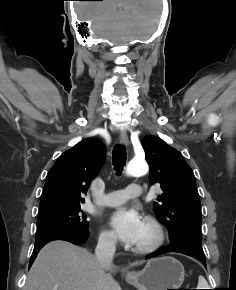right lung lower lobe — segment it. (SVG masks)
Listing matches in <instances>:
<instances>
[{"instance_id":"98d812e1","label":"right lung lower lobe","mask_w":236,"mask_h":290,"mask_svg":"<svg viewBox=\"0 0 236 290\" xmlns=\"http://www.w3.org/2000/svg\"><path fill=\"white\" fill-rule=\"evenodd\" d=\"M89 236V232H76V233H55L48 236H45L40 239L35 240L34 250L30 258L29 268L31 267L32 263L34 262L37 253L39 250L48 242L53 240H65L69 241L73 244H82L86 242Z\"/></svg>"}]
</instances>
